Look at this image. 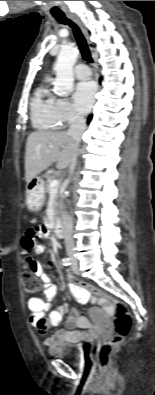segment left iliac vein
Segmentation results:
<instances>
[{"mask_svg":"<svg viewBox=\"0 0 155 395\" xmlns=\"http://www.w3.org/2000/svg\"><path fill=\"white\" fill-rule=\"evenodd\" d=\"M71 270L75 274L79 273L78 264H77V261L75 259L72 260Z\"/></svg>","mask_w":155,"mask_h":395,"instance_id":"4c4485c4","label":"left iliac vein"}]
</instances>
